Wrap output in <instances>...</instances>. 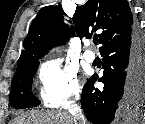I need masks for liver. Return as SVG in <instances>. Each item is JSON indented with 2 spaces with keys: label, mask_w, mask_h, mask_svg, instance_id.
Returning <instances> with one entry per match:
<instances>
[{
  "label": "liver",
  "mask_w": 145,
  "mask_h": 124,
  "mask_svg": "<svg viewBox=\"0 0 145 124\" xmlns=\"http://www.w3.org/2000/svg\"><path fill=\"white\" fill-rule=\"evenodd\" d=\"M11 124H75L73 118L65 112L30 111L13 121Z\"/></svg>",
  "instance_id": "obj_1"
}]
</instances>
